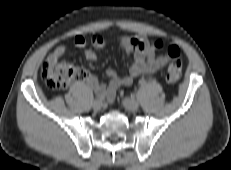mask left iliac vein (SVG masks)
I'll use <instances>...</instances> for the list:
<instances>
[{
	"label": "left iliac vein",
	"mask_w": 231,
	"mask_h": 170,
	"mask_svg": "<svg viewBox=\"0 0 231 170\" xmlns=\"http://www.w3.org/2000/svg\"><path fill=\"white\" fill-rule=\"evenodd\" d=\"M122 103H123V106L129 111L136 112L139 109V103L135 100L128 98V97H125L123 99Z\"/></svg>",
	"instance_id": "1"
}]
</instances>
